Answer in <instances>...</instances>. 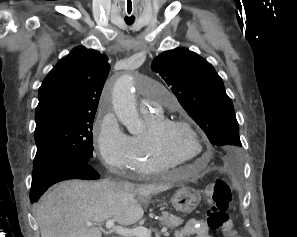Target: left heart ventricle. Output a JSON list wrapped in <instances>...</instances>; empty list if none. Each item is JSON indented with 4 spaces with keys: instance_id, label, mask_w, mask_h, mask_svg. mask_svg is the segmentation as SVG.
Instances as JSON below:
<instances>
[{
    "instance_id": "b2bd125f",
    "label": "left heart ventricle",
    "mask_w": 297,
    "mask_h": 237,
    "mask_svg": "<svg viewBox=\"0 0 297 237\" xmlns=\"http://www.w3.org/2000/svg\"><path fill=\"white\" fill-rule=\"evenodd\" d=\"M164 147L179 158H196L200 146L194 136L183 127L167 129L162 136Z\"/></svg>"
}]
</instances>
